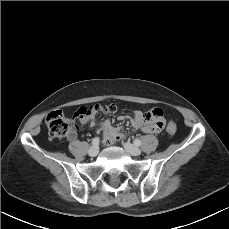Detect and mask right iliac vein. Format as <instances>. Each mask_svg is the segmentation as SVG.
Returning <instances> with one entry per match:
<instances>
[{
  "label": "right iliac vein",
  "mask_w": 229,
  "mask_h": 229,
  "mask_svg": "<svg viewBox=\"0 0 229 229\" xmlns=\"http://www.w3.org/2000/svg\"><path fill=\"white\" fill-rule=\"evenodd\" d=\"M99 152V148L97 146H92L89 148L88 150V154L91 156V157H94L98 154Z\"/></svg>",
  "instance_id": "right-iliac-vein-1"
}]
</instances>
